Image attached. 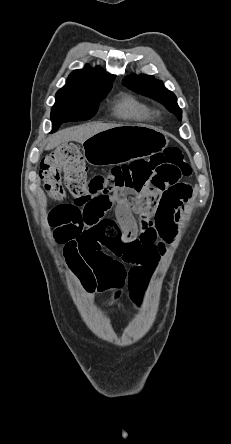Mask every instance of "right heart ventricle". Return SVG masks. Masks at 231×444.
Listing matches in <instances>:
<instances>
[{"instance_id": "right-heart-ventricle-1", "label": "right heart ventricle", "mask_w": 231, "mask_h": 444, "mask_svg": "<svg viewBox=\"0 0 231 444\" xmlns=\"http://www.w3.org/2000/svg\"><path fill=\"white\" fill-rule=\"evenodd\" d=\"M114 113L119 118L131 120H150L155 116L152 107L132 95L122 96L115 105Z\"/></svg>"}]
</instances>
